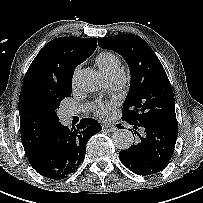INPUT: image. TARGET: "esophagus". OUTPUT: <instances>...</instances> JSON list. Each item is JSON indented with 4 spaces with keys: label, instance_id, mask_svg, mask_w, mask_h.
Masks as SVG:
<instances>
[{
    "label": "esophagus",
    "instance_id": "esophagus-1",
    "mask_svg": "<svg viewBox=\"0 0 203 203\" xmlns=\"http://www.w3.org/2000/svg\"><path fill=\"white\" fill-rule=\"evenodd\" d=\"M102 127L104 129H110L111 131H114L116 129L115 126L112 123L108 122V121H104L103 124H102Z\"/></svg>",
    "mask_w": 203,
    "mask_h": 203
}]
</instances>
